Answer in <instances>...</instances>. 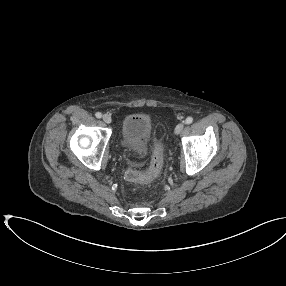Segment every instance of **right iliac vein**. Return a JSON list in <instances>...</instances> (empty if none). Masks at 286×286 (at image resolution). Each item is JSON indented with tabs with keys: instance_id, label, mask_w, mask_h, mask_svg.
I'll return each mask as SVG.
<instances>
[{
	"instance_id": "right-iliac-vein-1",
	"label": "right iliac vein",
	"mask_w": 286,
	"mask_h": 286,
	"mask_svg": "<svg viewBox=\"0 0 286 286\" xmlns=\"http://www.w3.org/2000/svg\"><path fill=\"white\" fill-rule=\"evenodd\" d=\"M102 119L107 124H110L112 122V118H111V116L109 114H104Z\"/></svg>"
}]
</instances>
